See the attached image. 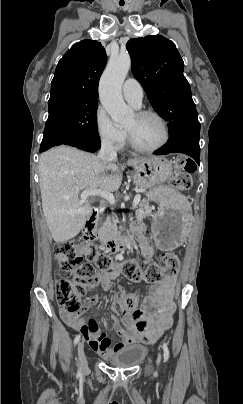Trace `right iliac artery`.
<instances>
[{
    "mask_svg": "<svg viewBox=\"0 0 243 404\" xmlns=\"http://www.w3.org/2000/svg\"><path fill=\"white\" fill-rule=\"evenodd\" d=\"M80 338H81L80 335H77V336L75 337V339H74V345H76V344L80 341ZM78 375H79V376L81 375V369H80V368L78 369Z\"/></svg>",
    "mask_w": 243,
    "mask_h": 404,
    "instance_id": "right-iliac-artery-1",
    "label": "right iliac artery"
}]
</instances>
